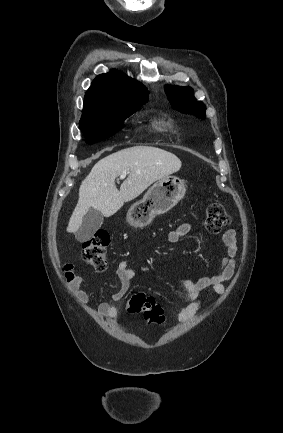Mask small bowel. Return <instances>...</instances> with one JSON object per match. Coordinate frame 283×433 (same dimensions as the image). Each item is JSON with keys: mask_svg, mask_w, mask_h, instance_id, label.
I'll return each mask as SVG.
<instances>
[{"mask_svg": "<svg viewBox=\"0 0 283 433\" xmlns=\"http://www.w3.org/2000/svg\"><path fill=\"white\" fill-rule=\"evenodd\" d=\"M191 230L189 223H182L176 229L168 234V240L171 243L180 241ZM222 244L226 247V252L221 258L218 270L210 275L199 279L196 283L185 281L183 287L187 293L189 303L180 308L177 312V319L180 322L191 320L197 313L202 297L205 294H223L225 284L230 281L235 271V257L237 254L236 232L233 229L225 231L221 238ZM116 274L120 280V288L112 295L114 302L120 301L130 287L131 281L135 278L134 270L129 266L127 261H120L117 265ZM83 278L75 276L71 281L70 287L74 292L77 300L86 305L89 296L82 288ZM118 309L111 302H103L98 307V313L105 318H113L117 315Z\"/></svg>", "mask_w": 283, "mask_h": 433, "instance_id": "c3829d8e", "label": "small bowel"}]
</instances>
